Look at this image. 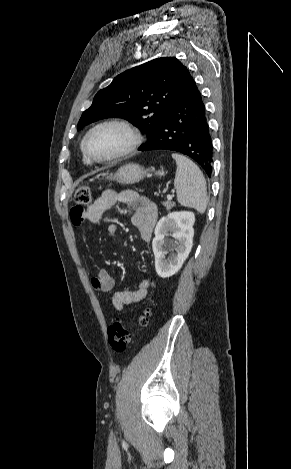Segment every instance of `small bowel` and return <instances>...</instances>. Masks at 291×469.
Returning <instances> with one entry per match:
<instances>
[{"label": "small bowel", "instance_id": "obj_1", "mask_svg": "<svg viewBox=\"0 0 291 469\" xmlns=\"http://www.w3.org/2000/svg\"><path fill=\"white\" fill-rule=\"evenodd\" d=\"M117 202H121L132 209L133 225L138 229L141 239L144 242H149L157 221V208L148 198L132 190L120 192L105 190L86 210L82 209L76 216L71 214V220L76 227H81L85 221L98 224L103 214ZM116 232L117 226L113 223L109 224L107 227L108 235L113 237ZM91 283L95 289L101 292H108L115 285L113 277L105 268L95 270ZM153 286V282L144 278L133 290L116 291L112 296L114 309L121 311L125 306L141 301Z\"/></svg>", "mask_w": 291, "mask_h": 469}]
</instances>
